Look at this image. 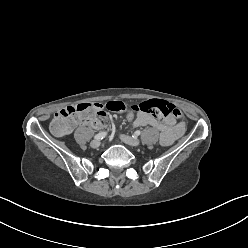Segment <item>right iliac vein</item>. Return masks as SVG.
<instances>
[{"instance_id":"63e3f726","label":"right iliac vein","mask_w":248,"mask_h":248,"mask_svg":"<svg viewBox=\"0 0 248 248\" xmlns=\"http://www.w3.org/2000/svg\"><path fill=\"white\" fill-rule=\"evenodd\" d=\"M100 144H101L100 140L95 139V140L91 141L90 146L92 148H98L100 146Z\"/></svg>"}]
</instances>
